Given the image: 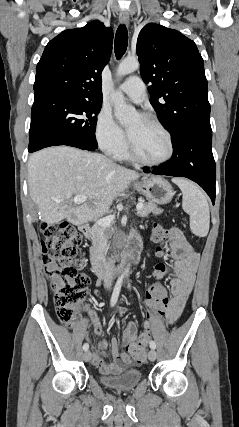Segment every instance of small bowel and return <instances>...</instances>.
<instances>
[{"label":"small bowel","instance_id":"1","mask_svg":"<svg viewBox=\"0 0 239 427\" xmlns=\"http://www.w3.org/2000/svg\"><path fill=\"white\" fill-rule=\"evenodd\" d=\"M166 235H170L171 242L169 244V254L174 259L172 267L173 278L171 279L170 287L172 298H167V304L164 310L165 318L168 323L172 324L177 321L181 315L188 296L193 288L195 275L199 262V253L186 240L182 231L178 228H171ZM133 243H140V238L137 234H133ZM154 309V308H151ZM125 308H118L117 314H125ZM93 321V330L98 337L96 341V349L102 351L107 347L105 339L101 338L103 328L93 312H90ZM137 339V325L135 322H129L123 333V342L126 346H132ZM110 352L112 361H105L99 353L92 354V363L105 374H118L122 372L130 363V357L126 353L119 352V344L116 338L110 341Z\"/></svg>","mask_w":239,"mask_h":427}]
</instances>
